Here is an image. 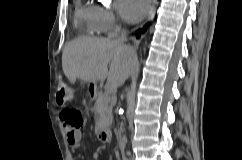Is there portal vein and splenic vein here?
<instances>
[{
    "label": "portal vein and splenic vein",
    "mask_w": 242,
    "mask_h": 160,
    "mask_svg": "<svg viewBox=\"0 0 242 160\" xmlns=\"http://www.w3.org/2000/svg\"><path fill=\"white\" fill-rule=\"evenodd\" d=\"M109 93H110V91H108V92H106V93L104 94L105 99H108V98H109Z\"/></svg>",
    "instance_id": "obj_1"
}]
</instances>
